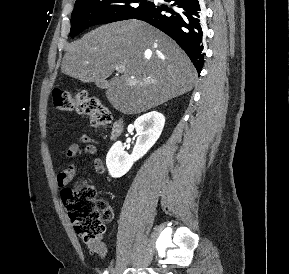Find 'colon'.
Masks as SVG:
<instances>
[{"label": "colon", "instance_id": "5ec220e1", "mask_svg": "<svg viewBox=\"0 0 289 274\" xmlns=\"http://www.w3.org/2000/svg\"><path fill=\"white\" fill-rule=\"evenodd\" d=\"M54 106L60 111H75L90 117L94 128H105L112 121L110 110L95 96L86 92L72 94L61 89L52 92ZM62 199L77 234L87 242L99 240L106 224L113 218L110 205L96 196L95 187L81 182L62 191Z\"/></svg>", "mask_w": 289, "mask_h": 274}]
</instances>
